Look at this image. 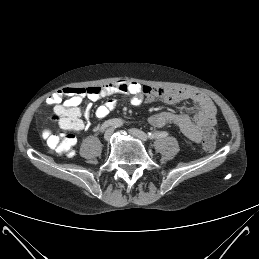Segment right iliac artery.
Here are the masks:
<instances>
[{
  "mask_svg": "<svg viewBox=\"0 0 259 259\" xmlns=\"http://www.w3.org/2000/svg\"><path fill=\"white\" fill-rule=\"evenodd\" d=\"M116 121H121V122H123V121H122L121 119H119V118H114V119H110V120H108V121H105V122L101 125V127H100V132H104L107 127L112 126V124H113L114 122H116Z\"/></svg>",
  "mask_w": 259,
  "mask_h": 259,
  "instance_id": "right-iliac-artery-1",
  "label": "right iliac artery"
}]
</instances>
